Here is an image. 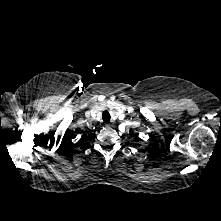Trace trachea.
Returning a JSON list of instances; mask_svg holds the SVG:
<instances>
[{
    "mask_svg": "<svg viewBox=\"0 0 221 221\" xmlns=\"http://www.w3.org/2000/svg\"><path fill=\"white\" fill-rule=\"evenodd\" d=\"M110 113L108 111H104L103 114H102V119L103 121L106 123H109L110 122Z\"/></svg>",
    "mask_w": 221,
    "mask_h": 221,
    "instance_id": "trachea-1",
    "label": "trachea"
}]
</instances>
